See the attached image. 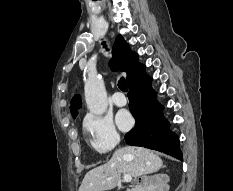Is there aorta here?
I'll use <instances>...</instances> for the list:
<instances>
[{
  "label": "aorta",
  "mask_w": 233,
  "mask_h": 191,
  "mask_svg": "<svg viewBox=\"0 0 233 191\" xmlns=\"http://www.w3.org/2000/svg\"><path fill=\"white\" fill-rule=\"evenodd\" d=\"M85 101L89 111L95 115H102L106 112L107 94L103 80L97 76H90L85 82Z\"/></svg>",
  "instance_id": "obj_1"
}]
</instances>
